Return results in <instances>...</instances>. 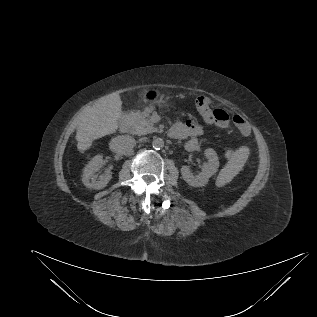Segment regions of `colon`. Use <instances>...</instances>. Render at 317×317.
<instances>
[{"instance_id":"5ec220e1","label":"colon","mask_w":317,"mask_h":317,"mask_svg":"<svg viewBox=\"0 0 317 317\" xmlns=\"http://www.w3.org/2000/svg\"><path fill=\"white\" fill-rule=\"evenodd\" d=\"M197 109L200 111L204 120L216 124H222L227 119V114L220 109H211V100L208 97L200 96L196 100Z\"/></svg>"}]
</instances>
